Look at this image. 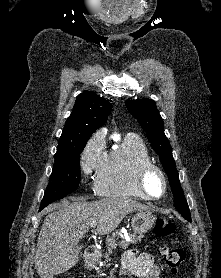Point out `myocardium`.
Returning <instances> with one entry per match:
<instances>
[{
  "label": "myocardium",
  "instance_id": "f54148a6",
  "mask_svg": "<svg viewBox=\"0 0 221 278\" xmlns=\"http://www.w3.org/2000/svg\"><path fill=\"white\" fill-rule=\"evenodd\" d=\"M151 175H157L160 179L162 190L160 194L153 195L148 186ZM134 182L138 191L148 200H158L162 198L167 190V180L162 169L152 161L142 162L137 165L134 173Z\"/></svg>",
  "mask_w": 221,
  "mask_h": 278
}]
</instances>
